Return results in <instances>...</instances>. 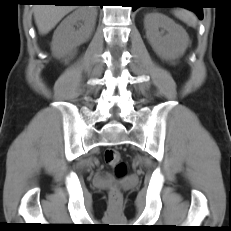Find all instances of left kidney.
<instances>
[{"instance_id": "5707ae66", "label": "left kidney", "mask_w": 231, "mask_h": 231, "mask_svg": "<svg viewBox=\"0 0 231 231\" xmlns=\"http://www.w3.org/2000/svg\"><path fill=\"white\" fill-rule=\"evenodd\" d=\"M144 25L147 39L158 56L174 60L184 54L189 36L181 25L161 13L146 15Z\"/></svg>"}]
</instances>
